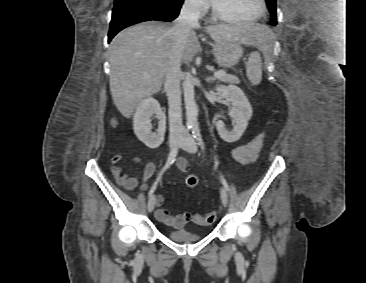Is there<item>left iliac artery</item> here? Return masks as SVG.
I'll list each match as a JSON object with an SVG mask.
<instances>
[{
  "mask_svg": "<svg viewBox=\"0 0 366 283\" xmlns=\"http://www.w3.org/2000/svg\"><path fill=\"white\" fill-rule=\"evenodd\" d=\"M192 134H193V137L198 142V145H200L201 148L204 150L205 146H204V142H203V139H202V136H201L200 129H199L198 125L194 124L192 126ZM220 179H221V182L224 185L225 189L229 190L228 184H227L226 180L224 179V177L222 175L220 176Z\"/></svg>",
  "mask_w": 366,
  "mask_h": 283,
  "instance_id": "44dca946",
  "label": "left iliac artery"
}]
</instances>
